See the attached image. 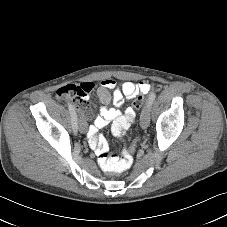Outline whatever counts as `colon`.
<instances>
[{"label":"colon","mask_w":227,"mask_h":227,"mask_svg":"<svg viewBox=\"0 0 227 227\" xmlns=\"http://www.w3.org/2000/svg\"><path fill=\"white\" fill-rule=\"evenodd\" d=\"M80 89L75 85H66L57 90L59 98H76L81 95ZM144 103V97L139 96L133 102L134 109H140ZM137 149L136 143H131L130 148L126 150L122 160L115 159L108 153H102L98 156L100 166L107 172L119 173L128 168L132 162V153Z\"/></svg>","instance_id":"5ec220e1"}]
</instances>
